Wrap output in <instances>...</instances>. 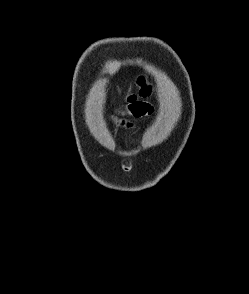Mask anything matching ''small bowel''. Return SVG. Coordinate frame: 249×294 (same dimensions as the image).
I'll return each instance as SVG.
<instances>
[{
	"label": "small bowel",
	"instance_id": "obj_1",
	"mask_svg": "<svg viewBox=\"0 0 249 294\" xmlns=\"http://www.w3.org/2000/svg\"><path fill=\"white\" fill-rule=\"evenodd\" d=\"M153 112V107L149 103L137 102L128 105L124 109H118L112 115V123L126 130H133L135 123L131 118H139L145 115H150Z\"/></svg>",
	"mask_w": 249,
	"mask_h": 294
}]
</instances>
